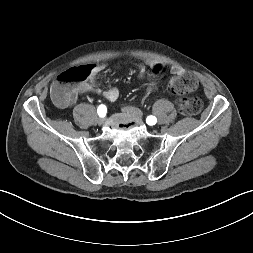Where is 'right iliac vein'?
I'll return each mask as SVG.
<instances>
[{
  "label": "right iliac vein",
  "mask_w": 253,
  "mask_h": 253,
  "mask_svg": "<svg viewBox=\"0 0 253 253\" xmlns=\"http://www.w3.org/2000/svg\"><path fill=\"white\" fill-rule=\"evenodd\" d=\"M104 121H105V119L103 117H101V118L98 119L97 122H98L99 125H102L104 123Z\"/></svg>",
  "instance_id": "1"
}]
</instances>
